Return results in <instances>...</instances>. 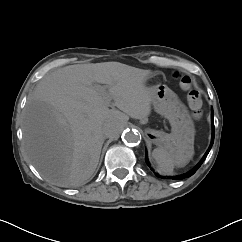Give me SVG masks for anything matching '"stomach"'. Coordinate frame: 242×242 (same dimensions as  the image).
<instances>
[{
	"label": "stomach",
	"instance_id": "obj_1",
	"mask_svg": "<svg viewBox=\"0 0 242 242\" xmlns=\"http://www.w3.org/2000/svg\"><path fill=\"white\" fill-rule=\"evenodd\" d=\"M154 110L169 120L172 132L146 129L149 140L167 151H180V159L188 161L193 155L194 123L178 96L165 84L150 87Z\"/></svg>",
	"mask_w": 242,
	"mask_h": 242
}]
</instances>
